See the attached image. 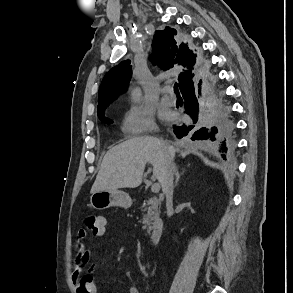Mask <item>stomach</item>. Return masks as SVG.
Returning a JSON list of instances; mask_svg holds the SVG:
<instances>
[{"label": "stomach", "instance_id": "stomach-1", "mask_svg": "<svg viewBox=\"0 0 293 293\" xmlns=\"http://www.w3.org/2000/svg\"><path fill=\"white\" fill-rule=\"evenodd\" d=\"M90 204L97 210L107 209L109 207L129 208L132 205V200L124 191H97L92 193Z\"/></svg>", "mask_w": 293, "mask_h": 293}]
</instances>
